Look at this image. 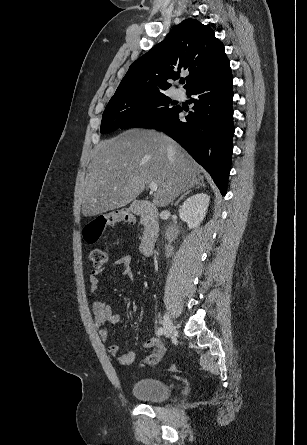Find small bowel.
<instances>
[{"mask_svg":"<svg viewBox=\"0 0 307 445\" xmlns=\"http://www.w3.org/2000/svg\"><path fill=\"white\" fill-rule=\"evenodd\" d=\"M112 266L122 268V276L132 281L134 280V271L132 269V258L130 255H122L112 262ZM104 269H93L89 274V283L91 292L95 294L98 289L99 276ZM94 315V325L99 335L104 341H108L107 325H117L121 321L120 315L113 312L111 307L102 301H94L91 305ZM145 346L151 349L150 354L142 361L144 365L151 366L158 363L164 355V347L158 338H151L146 341ZM107 350L110 355L116 357L119 364L128 366L135 360V353L130 351L120 353V348L116 343H108Z\"/></svg>","mask_w":307,"mask_h":445,"instance_id":"c3829d8e","label":"small bowel"}]
</instances>
